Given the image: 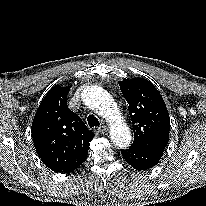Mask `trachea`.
<instances>
[{
	"mask_svg": "<svg viewBox=\"0 0 206 206\" xmlns=\"http://www.w3.org/2000/svg\"><path fill=\"white\" fill-rule=\"evenodd\" d=\"M87 121L90 128L100 125L98 119L94 115H89Z\"/></svg>",
	"mask_w": 206,
	"mask_h": 206,
	"instance_id": "trachea-1",
	"label": "trachea"
}]
</instances>
